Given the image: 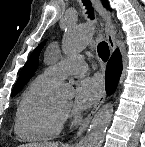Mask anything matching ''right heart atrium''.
<instances>
[{
  "label": "right heart atrium",
  "mask_w": 145,
  "mask_h": 147,
  "mask_svg": "<svg viewBox=\"0 0 145 147\" xmlns=\"http://www.w3.org/2000/svg\"><path fill=\"white\" fill-rule=\"evenodd\" d=\"M68 119V116L65 114L63 117V121H66Z\"/></svg>",
  "instance_id": "d8ad5b80"
}]
</instances>
